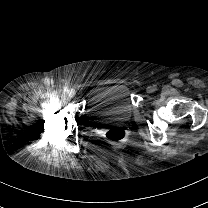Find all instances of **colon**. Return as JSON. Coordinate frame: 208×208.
Returning a JSON list of instances; mask_svg holds the SVG:
<instances>
[{
  "instance_id": "colon-1",
  "label": "colon",
  "mask_w": 208,
  "mask_h": 208,
  "mask_svg": "<svg viewBox=\"0 0 208 208\" xmlns=\"http://www.w3.org/2000/svg\"><path fill=\"white\" fill-rule=\"evenodd\" d=\"M125 136H126V132L122 128L111 129L105 134L106 140L111 143H119L123 141Z\"/></svg>"
}]
</instances>
